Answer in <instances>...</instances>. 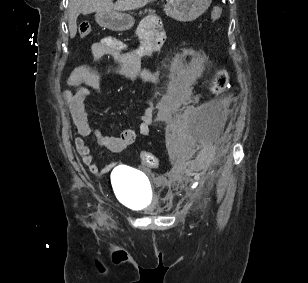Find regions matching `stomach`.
Listing matches in <instances>:
<instances>
[{"instance_id":"1","label":"stomach","mask_w":308,"mask_h":283,"mask_svg":"<svg viewBox=\"0 0 308 283\" xmlns=\"http://www.w3.org/2000/svg\"><path fill=\"white\" fill-rule=\"evenodd\" d=\"M212 0H167L165 12L168 16L189 22L201 16L210 6ZM96 21L101 26L113 31H125L132 28L134 20L130 15L122 13H97Z\"/></svg>"}]
</instances>
